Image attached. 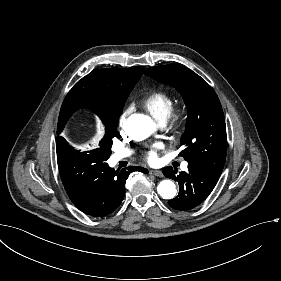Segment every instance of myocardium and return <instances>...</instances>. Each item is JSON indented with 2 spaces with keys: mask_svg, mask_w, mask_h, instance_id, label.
Masks as SVG:
<instances>
[{
  "mask_svg": "<svg viewBox=\"0 0 281 281\" xmlns=\"http://www.w3.org/2000/svg\"><path fill=\"white\" fill-rule=\"evenodd\" d=\"M169 121L171 126H177L183 121V113L180 109H175L169 115Z\"/></svg>",
  "mask_w": 281,
  "mask_h": 281,
  "instance_id": "myocardium-1",
  "label": "myocardium"
}]
</instances>
